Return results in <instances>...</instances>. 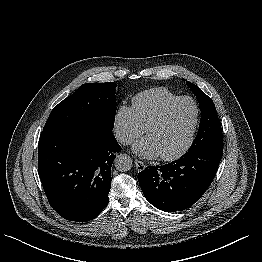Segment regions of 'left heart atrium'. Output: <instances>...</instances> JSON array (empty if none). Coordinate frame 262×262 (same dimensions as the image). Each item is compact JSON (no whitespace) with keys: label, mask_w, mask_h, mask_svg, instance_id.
<instances>
[{"label":"left heart atrium","mask_w":262,"mask_h":262,"mask_svg":"<svg viewBox=\"0 0 262 262\" xmlns=\"http://www.w3.org/2000/svg\"><path fill=\"white\" fill-rule=\"evenodd\" d=\"M132 149L135 154L142 158L153 159L160 156V151L156 143L149 136L136 142Z\"/></svg>","instance_id":"39dd6f15"}]
</instances>
